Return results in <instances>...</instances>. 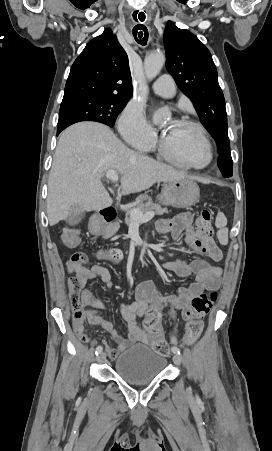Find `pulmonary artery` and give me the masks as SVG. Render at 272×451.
I'll return each mask as SVG.
<instances>
[{
    "mask_svg": "<svg viewBox=\"0 0 272 451\" xmlns=\"http://www.w3.org/2000/svg\"><path fill=\"white\" fill-rule=\"evenodd\" d=\"M153 91L163 98H173L176 92L175 81L170 75H163L152 86Z\"/></svg>",
    "mask_w": 272,
    "mask_h": 451,
    "instance_id": "obj_1",
    "label": "pulmonary artery"
}]
</instances>
